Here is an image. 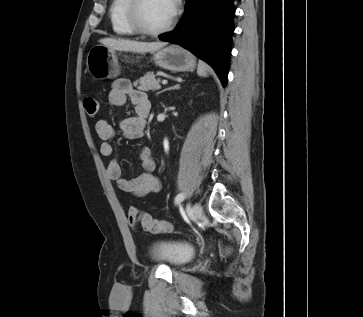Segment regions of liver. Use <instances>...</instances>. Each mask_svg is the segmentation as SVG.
Masks as SVG:
<instances>
[{
  "label": "liver",
  "instance_id": "obj_1",
  "mask_svg": "<svg viewBox=\"0 0 363 317\" xmlns=\"http://www.w3.org/2000/svg\"><path fill=\"white\" fill-rule=\"evenodd\" d=\"M99 42L111 50L146 53L157 51L167 45L166 42H140L115 38H102Z\"/></svg>",
  "mask_w": 363,
  "mask_h": 317
}]
</instances>
